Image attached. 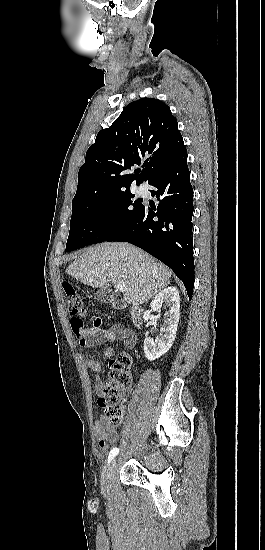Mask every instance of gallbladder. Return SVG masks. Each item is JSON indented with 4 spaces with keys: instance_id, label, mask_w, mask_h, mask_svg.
<instances>
[{
    "instance_id": "1",
    "label": "gallbladder",
    "mask_w": 265,
    "mask_h": 550,
    "mask_svg": "<svg viewBox=\"0 0 265 550\" xmlns=\"http://www.w3.org/2000/svg\"><path fill=\"white\" fill-rule=\"evenodd\" d=\"M95 298L97 299V301H100L102 303L116 300V296L107 289L97 290V292L95 293Z\"/></svg>"
}]
</instances>
